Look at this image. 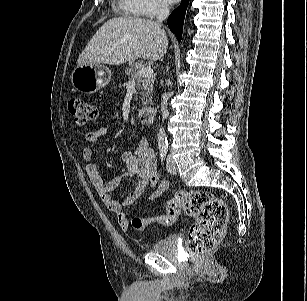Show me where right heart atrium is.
Returning a JSON list of instances; mask_svg holds the SVG:
<instances>
[{
    "instance_id": "1",
    "label": "right heart atrium",
    "mask_w": 307,
    "mask_h": 301,
    "mask_svg": "<svg viewBox=\"0 0 307 301\" xmlns=\"http://www.w3.org/2000/svg\"><path fill=\"white\" fill-rule=\"evenodd\" d=\"M135 7L141 16L153 18L167 10L164 0H134Z\"/></svg>"
}]
</instances>
